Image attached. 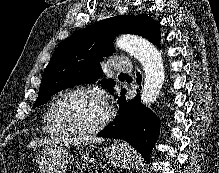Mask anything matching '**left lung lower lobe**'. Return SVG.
Wrapping results in <instances>:
<instances>
[{
  "label": "left lung lower lobe",
  "instance_id": "0a47b994",
  "mask_svg": "<svg viewBox=\"0 0 219 173\" xmlns=\"http://www.w3.org/2000/svg\"><path fill=\"white\" fill-rule=\"evenodd\" d=\"M158 47L159 42L156 43ZM137 82L141 76L137 73ZM126 90L121 91L119 97V115L105 127L98 136L104 138L124 139L144 157L150 160L151 152L159 135L160 121L153 112L141 104L140 95L126 101Z\"/></svg>",
  "mask_w": 219,
  "mask_h": 173
}]
</instances>
